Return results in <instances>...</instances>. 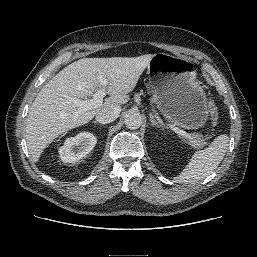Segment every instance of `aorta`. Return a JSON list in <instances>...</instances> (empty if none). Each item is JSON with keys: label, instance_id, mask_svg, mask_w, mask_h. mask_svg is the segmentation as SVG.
<instances>
[{"label": "aorta", "instance_id": "aorta-1", "mask_svg": "<svg viewBox=\"0 0 257 257\" xmlns=\"http://www.w3.org/2000/svg\"><path fill=\"white\" fill-rule=\"evenodd\" d=\"M124 123L131 130L138 129L142 124L141 114L137 110L127 111L124 115Z\"/></svg>", "mask_w": 257, "mask_h": 257}]
</instances>
